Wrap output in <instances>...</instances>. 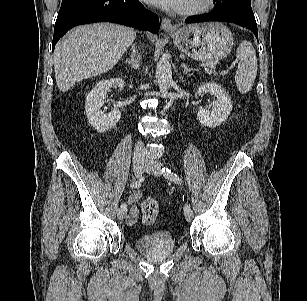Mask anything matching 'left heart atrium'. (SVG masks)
I'll use <instances>...</instances> for the list:
<instances>
[{"mask_svg":"<svg viewBox=\"0 0 307 301\" xmlns=\"http://www.w3.org/2000/svg\"><path fill=\"white\" fill-rule=\"evenodd\" d=\"M144 1L154 6L165 9L168 8L177 9L182 2V0H144Z\"/></svg>","mask_w":307,"mask_h":301,"instance_id":"1","label":"left heart atrium"}]
</instances>
